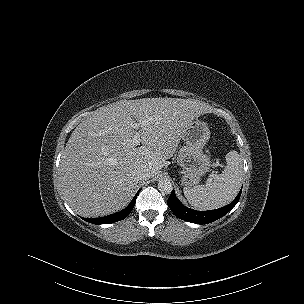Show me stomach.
<instances>
[{
    "label": "stomach",
    "instance_id": "stomach-1",
    "mask_svg": "<svg viewBox=\"0 0 304 304\" xmlns=\"http://www.w3.org/2000/svg\"><path fill=\"white\" fill-rule=\"evenodd\" d=\"M210 134L207 123L199 119L191 121L182 134L185 146L179 151L177 162L183 173L182 184L187 187L198 184L210 169V157L203 152Z\"/></svg>",
    "mask_w": 304,
    "mask_h": 304
}]
</instances>
